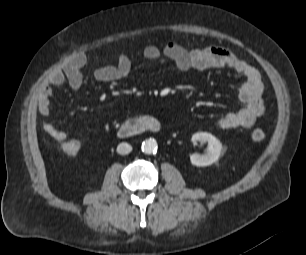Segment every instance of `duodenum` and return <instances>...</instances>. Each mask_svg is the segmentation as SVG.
Wrapping results in <instances>:
<instances>
[{
    "instance_id": "obj_1",
    "label": "duodenum",
    "mask_w": 306,
    "mask_h": 255,
    "mask_svg": "<svg viewBox=\"0 0 306 255\" xmlns=\"http://www.w3.org/2000/svg\"><path fill=\"white\" fill-rule=\"evenodd\" d=\"M161 129L159 121L153 117H139L123 124L117 134L120 138H129L141 133H157Z\"/></svg>"
}]
</instances>
